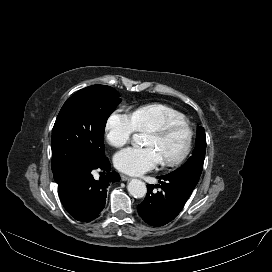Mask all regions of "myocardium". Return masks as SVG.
I'll return each instance as SVG.
<instances>
[{
  "instance_id": "obj_1",
  "label": "myocardium",
  "mask_w": 272,
  "mask_h": 272,
  "mask_svg": "<svg viewBox=\"0 0 272 272\" xmlns=\"http://www.w3.org/2000/svg\"><path fill=\"white\" fill-rule=\"evenodd\" d=\"M177 130H184L186 132V143L182 151L177 156L168 160H163L164 166H176L182 163L188 157L193 146V128L188 122H171L149 131L150 134L165 138Z\"/></svg>"
}]
</instances>
